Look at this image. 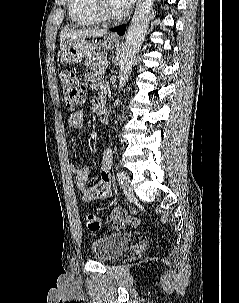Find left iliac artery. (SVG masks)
Listing matches in <instances>:
<instances>
[{"instance_id": "obj_1", "label": "left iliac artery", "mask_w": 239, "mask_h": 303, "mask_svg": "<svg viewBox=\"0 0 239 303\" xmlns=\"http://www.w3.org/2000/svg\"><path fill=\"white\" fill-rule=\"evenodd\" d=\"M124 177H125V173L124 172H118L117 173V178H118V181L120 182V184H123Z\"/></svg>"}]
</instances>
